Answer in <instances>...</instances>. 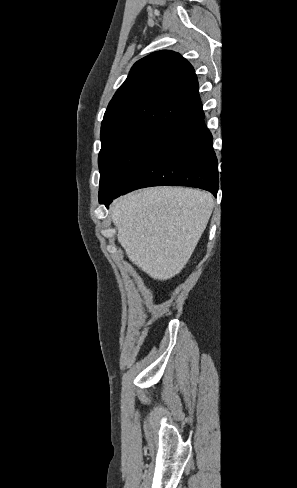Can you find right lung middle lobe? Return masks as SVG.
Returning a JSON list of instances; mask_svg holds the SVG:
<instances>
[{"label": "right lung middle lobe", "mask_w": 297, "mask_h": 488, "mask_svg": "<svg viewBox=\"0 0 297 488\" xmlns=\"http://www.w3.org/2000/svg\"><path fill=\"white\" fill-rule=\"evenodd\" d=\"M172 131L137 128L102 141L99 153V202L121 193Z\"/></svg>", "instance_id": "dd1d6c3e"}]
</instances>
